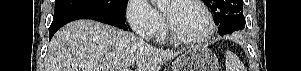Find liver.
Instances as JSON below:
<instances>
[{
    "label": "liver",
    "mask_w": 301,
    "mask_h": 71,
    "mask_svg": "<svg viewBox=\"0 0 301 71\" xmlns=\"http://www.w3.org/2000/svg\"><path fill=\"white\" fill-rule=\"evenodd\" d=\"M181 52L163 50L138 36L93 20H78L51 39L44 71H159Z\"/></svg>",
    "instance_id": "6515ba94"
}]
</instances>
